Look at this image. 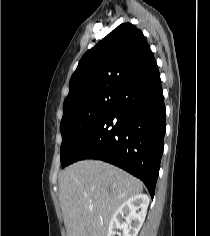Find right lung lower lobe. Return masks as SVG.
Instances as JSON below:
<instances>
[{
    "label": "right lung lower lobe",
    "instance_id": "98d812e1",
    "mask_svg": "<svg viewBox=\"0 0 210 236\" xmlns=\"http://www.w3.org/2000/svg\"><path fill=\"white\" fill-rule=\"evenodd\" d=\"M158 67L119 92L113 108L94 127L69 164L100 159L141 179L154 196L166 130Z\"/></svg>",
    "mask_w": 210,
    "mask_h": 236
}]
</instances>
